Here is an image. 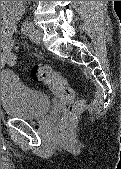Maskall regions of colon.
<instances>
[{"label":"colon","mask_w":121,"mask_h":169,"mask_svg":"<svg viewBox=\"0 0 121 169\" xmlns=\"http://www.w3.org/2000/svg\"><path fill=\"white\" fill-rule=\"evenodd\" d=\"M6 38L14 40V34L7 32ZM1 49L5 63L13 65L16 61V56L13 53V49H15L14 41L1 44ZM31 76L36 82L44 83L49 91L66 105L64 121L56 129L57 137L65 138L69 130V120L82 109L83 103L75 99L74 91L69 86L66 78L50 66L34 65L31 69Z\"/></svg>","instance_id":"5ec220e1"}]
</instances>
